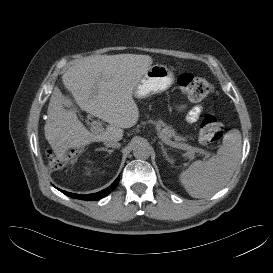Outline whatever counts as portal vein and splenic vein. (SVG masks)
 Masks as SVG:
<instances>
[{
    "label": "portal vein and splenic vein",
    "instance_id": "18ae733b",
    "mask_svg": "<svg viewBox=\"0 0 273 273\" xmlns=\"http://www.w3.org/2000/svg\"><path fill=\"white\" fill-rule=\"evenodd\" d=\"M92 129H93L94 131H97V132L103 130L102 126H101L99 123H97V122H94V123H93ZM158 136H159V138H160L165 144H167V145H169V146H172V147H174V148H180V149H183V150H187L190 154H194V153H196V152H200V153L205 154L206 157H209V153L205 152V151L202 150V149L193 148V147H190V146H188V145H185V146L179 145V144H177V143H175V142H173V141L167 139V138L164 137L162 134H158Z\"/></svg>",
    "mask_w": 273,
    "mask_h": 273
}]
</instances>
